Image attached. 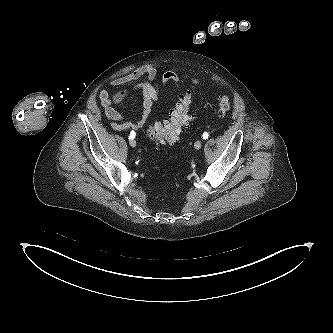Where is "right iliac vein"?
I'll use <instances>...</instances> for the list:
<instances>
[{"instance_id":"right-iliac-vein-1","label":"right iliac vein","mask_w":333,"mask_h":333,"mask_svg":"<svg viewBox=\"0 0 333 333\" xmlns=\"http://www.w3.org/2000/svg\"><path fill=\"white\" fill-rule=\"evenodd\" d=\"M129 144L131 147H136V141L133 139L129 140Z\"/></svg>"}]
</instances>
